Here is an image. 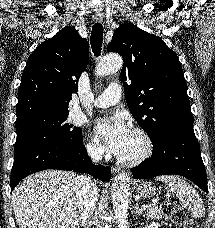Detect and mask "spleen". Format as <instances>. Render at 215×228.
I'll return each mask as SVG.
<instances>
[{
  "label": "spleen",
  "instance_id": "3e777b00",
  "mask_svg": "<svg viewBox=\"0 0 215 228\" xmlns=\"http://www.w3.org/2000/svg\"><path fill=\"white\" fill-rule=\"evenodd\" d=\"M156 180L157 182H164L177 194V198L189 210L191 218H203L205 214L203 202L188 182L182 180L180 176H157Z\"/></svg>",
  "mask_w": 215,
  "mask_h": 228
}]
</instances>
